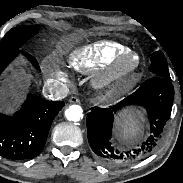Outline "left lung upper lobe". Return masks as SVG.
<instances>
[{
	"instance_id": "1",
	"label": "left lung upper lobe",
	"mask_w": 183,
	"mask_h": 183,
	"mask_svg": "<svg viewBox=\"0 0 183 183\" xmlns=\"http://www.w3.org/2000/svg\"><path fill=\"white\" fill-rule=\"evenodd\" d=\"M149 70L159 76L170 77L166 58L161 51L152 54Z\"/></svg>"
}]
</instances>
